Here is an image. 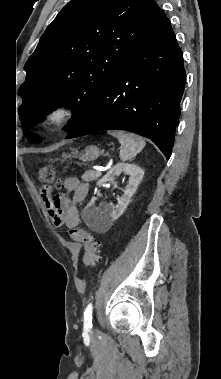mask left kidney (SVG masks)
Here are the masks:
<instances>
[{
    "instance_id": "left-kidney-1",
    "label": "left kidney",
    "mask_w": 221,
    "mask_h": 379,
    "mask_svg": "<svg viewBox=\"0 0 221 379\" xmlns=\"http://www.w3.org/2000/svg\"><path fill=\"white\" fill-rule=\"evenodd\" d=\"M122 172L129 174L130 177L124 189V194L118 199L116 206L111 208L102 204L99 207H95V199L93 198L83 210V219L91 229H107L124 213L144 175L143 169L135 164L118 163L97 184L113 182L116 176Z\"/></svg>"
}]
</instances>
